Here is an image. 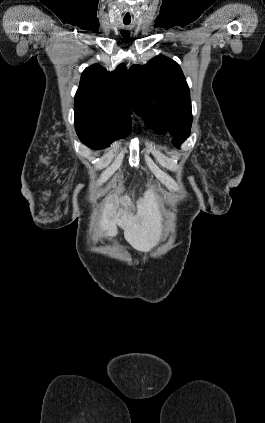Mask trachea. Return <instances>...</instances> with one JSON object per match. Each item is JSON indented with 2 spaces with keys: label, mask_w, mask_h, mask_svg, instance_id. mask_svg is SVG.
Instances as JSON below:
<instances>
[{
  "label": "trachea",
  "mask_w": 265,
  "mask_h": 423,
  "mask_svg": "<svg viewBox=\"0 0 265 423\" xmlns=\"http://www.w3.org/2000/svg\"><path fill=\"white\" fill-rule=\"evenodd\" d=\"M124 24H125V25H128L129 23H127V22H124Z\"/></svg>",
  "instance_id": "trachea-1"
}]
</instances>
